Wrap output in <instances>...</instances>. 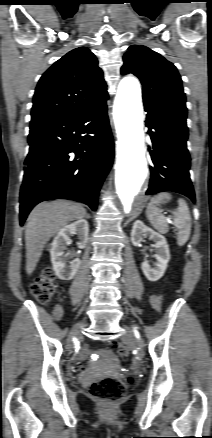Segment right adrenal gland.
Listing matches in <instances>:
<instances>
[{
	"mask_svg": "<svg viewBox=\"0 0 212 438\" xmlns=\"http://www.w3.org/2000/svg\"><path fill=\"white\" fill-rule=\"evenodd\" d=\"M86 218L89 219V218H90V215H89V214H86Z\"/></svg>",
	"mask_w": 212,
	"mask_h": 438,
	"instance_id": "2a0ac1e0",
	"label": "right adrenal gland"
}]
</instances>
